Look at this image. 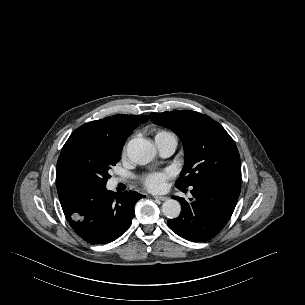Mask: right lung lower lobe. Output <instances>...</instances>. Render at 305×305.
<instances>
[{
    "label": "right lung lower lobe",
    "mask_w": 305,
    "mask_h": 305,
    "mask_svg": "<svg viewBox=\"0 0 305 305\" xmlns=\"http://www.w3.org/2000/svg\"><path fill=\"white\" fill-rule=\"evenodd\" d=\"M57 191L70 226L91 244H105L120 237L132 222L136 202L144 198L135 191L119 195L106 187L63 185Z\"/></svg>",
    "instance_id": "right-lung-lower-lobe-1"
}]
</instances>
